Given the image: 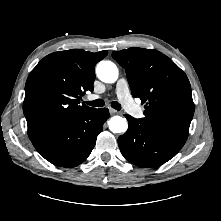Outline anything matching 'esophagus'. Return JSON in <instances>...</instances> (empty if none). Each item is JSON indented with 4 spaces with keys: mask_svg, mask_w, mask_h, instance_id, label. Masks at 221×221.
Instances as JSON below:
<instances>
[{
    "mask_svg": "<svg viewBox=\"0 0 221 221\" xmlns=\"http://www.w3.org/2000/svg\"><path fill=\"white\" fill-rule=\"evenodd\" d=\"M109 111L111 115L119 114V111L112 109V108H110Z\"/></svg>",
    "mask_w": 221,
    "mask_h": 221,
    "instance_id": "34e87169",
    "label": "esophagus"
}]
</instances>
